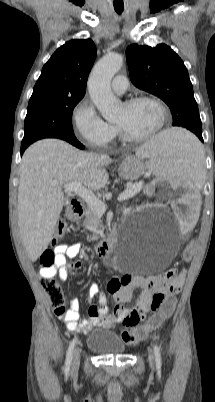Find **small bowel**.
Wrapping results in <instances>:
<instances>
[{
    "mask_svg": "<svg viewBox=\"0 0 215 402\" xmlns=\"http://www.w3.org/2000/svg\"><path fill=\"white\" fill-rule=\"evenodd\" d=\"M81 254L86 258L84 248L80 243L59 244L55 247V264L50 268H41L42 277L58 276L65 281L69 274L80 268L81 262L75 257ZM70 259L71 261H67ZM183 274H176L171 279H166L162 275L157 277H144L140 275H124L115 277L107 284V292L100 291L97 284L92 283L89 288V298L98 296V306L92 305L89 308V319L81 320L79 315V301L72 299L70 309L60 318L65 322L69 331L84 333L90 331L94 326L111 328L115 324L133 326L151 311L152 300L155 294L165 296L166 294H176L181 290L183 284ZM141 290V294L136 305L131 308L123 307L133 298V292ZM108 294L111 295L116 303L114 312L109 315L107 306ZM134 316L138 319L133 320Z\"/></svg>",
    "mask_w": 215,
    "mask_h": 402,
    "instance_id": "small-bowel-1",
    "label": "small bowel"
}]
</instances>
